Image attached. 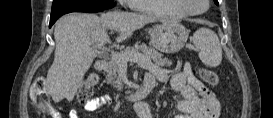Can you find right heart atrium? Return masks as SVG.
<instances>
[{"label":"right heart atrium","mask_w":273,"mask_h":118,"mask_svg":"<svg viewBox=\"0 0 273 118\" xmlns=\"http://www.w3.org/2000/svg\"><path fill=\"white\" fill-rule=\"evenodd\" d=\"M122 5H129L131 3L130 0H120Z\"/></svg>","instance_id":"right-heart-atrium-1"}]
</instances>
